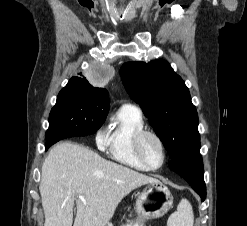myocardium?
Listing matches in <instances>:
<instances>
[{"mask_svg":"<svg viewBox=\"0 0 247 226\" xmlns=\"http://www.w3.org/2000/svg\"><path fill=\"white\" fill-rule=\"evenodd\" d=\"M146 136H152L153 138H155L157 140V142L160 145L161 148V152H162V160L161 163L158 166H152L150 165L147 160L145 159L143 152H142V141L144 139V137ZM133 148H134V152L135 155L137 157V159L145 166L147 167L149 170H157L159 168H161L167 158V152H166V147H165V143L162 139V137L155 131L153 130H149V129H142L140 131H138L133 139Z\"/></svg>","mask_w":247,"mask_h":226,"instance_id":"obj_1","label":"myocardium"}]
</instances>
